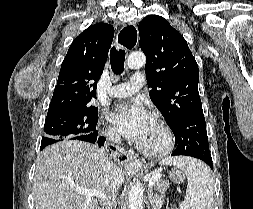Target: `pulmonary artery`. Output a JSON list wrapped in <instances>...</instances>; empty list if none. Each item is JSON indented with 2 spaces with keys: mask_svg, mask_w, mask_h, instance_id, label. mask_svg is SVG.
Here are the masks:
<instances>
[{
  "mask_svg": "<svg viewBox=\"0 0 253 209\" xmlns=\"http://www.w3.org/2000/svg\"><path fill=\"white\" fill-rule=\"evenodd\" d=\"M144 84V74L142 72H136L129 82L113 86L108 93L111 97L123 98L138 92Z\"/></svg>",
  "mask_w": 253,
  "mask_h": 209,
  "instance_id": "1",
  "label": "pulmonary artery"
}]
</instances>
